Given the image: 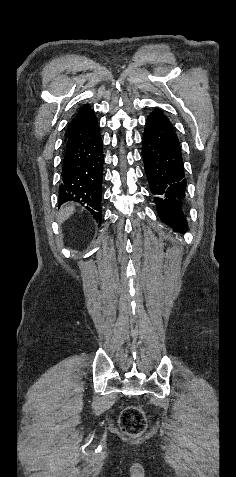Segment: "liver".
I'll return each instance as SVG.
<instances>
[{"mask_svg":"<svg viewBox=\"0 0 236 477\" xmlns=\"http://www.w3.org/2000/svg\"><path fill=\"white\" fill-rule=\"evenodd\" d=\"M75 211V208L73 205H64L61 207L59 211V216H58V222L62 223L65 220H67Z\"/></svg>","mask_w":236,"mask_h":477,"instance_id":"1","label":"liver"}]
</instances>
